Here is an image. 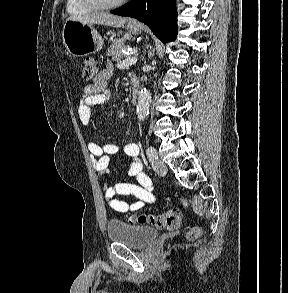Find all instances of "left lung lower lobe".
I'll use <instances>...</instances> for the list:
<instances>
[{"mask_svg": "<svg viewBox=\"0 0 288 293\" xmlns=\"http://www.w3.org/2000/svg\"><path fill=\"white\" fill-rule=\"evenodd\" d=\"M110 13L134 17L147 24L163 43L173 41L177 36L174 0H132Z\"/></svg>", "mask_w": 288, "mask_h": 293, "instance_id": "left-lung-lower-lobe-1", "label": "left lung lower lobe"}]
</instances>
